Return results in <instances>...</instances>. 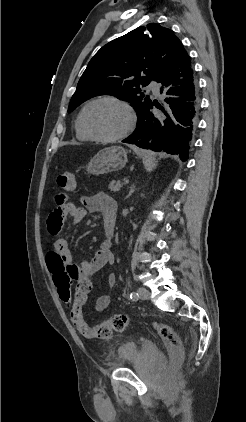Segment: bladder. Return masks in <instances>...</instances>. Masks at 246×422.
Listing matches in <instances>:
<instances>
[{
    "label": "bladder",
    "instance_id": "31cf9c89",
    "mask_svg": "<svg viewBox=\"0 0 246 422\" xmlns=\"http://www.w3.org/2000/svg\"><path fill=\"white\" fill-rule=\"evenodd\" d=\"M140 354V348L135 342L122 343L115 351L114 363L116 366L134 364L138 361ZM149 359L155 369H163L166 365V357L160 350H151Z\"/></svg>",
    "mask_w": 246,
    "mask_h": 422
}]
</instances>
